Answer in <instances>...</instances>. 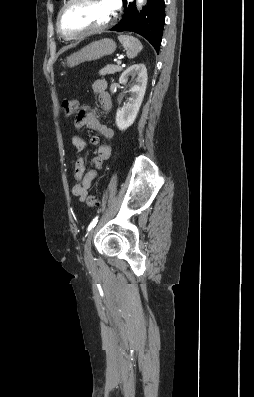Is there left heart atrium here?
I'll return each mask as SVG.
<instances>
[{
	"label": "left heart atrium",
	"instance_id": "1",
	"mask_svg": "<svg viewBox=\"0 0 254 397\" xmlns=\"http://www.w3.org/2000/svg\"><path fill=\"white\" fill-rule=\"evenodd\" d=\"M107 1L112 11L118 8L119 0H107Z\"/></svg>",
	"mask_w": 254,
	"mask_h": 397
}]
</instances>
